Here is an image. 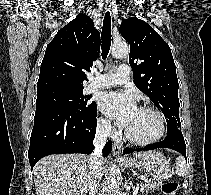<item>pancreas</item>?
<instances>
[{
	"label": "pancreas",
	"instance_id": "obj_1",
	"mask_svg": "<svg viewBox=\"0 0 211 195\" xmlns=\"http://www.w3.org/2000/svg\"><path fill=\"white\" fill-rule=\"evenodd\" d=\"M160 184H157V183H154V184H143V185H140V192L142 193H145V192H148L150 190H154L156 189L157 187H159Z\"/></svg>",
	"mask_w": 211,
	"mask_h": 195
}]
</instances>
